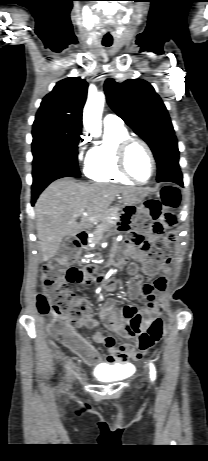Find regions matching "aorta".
<instances>
[{
    "instance_id": "1",
    "label": "aorta",
    "mask_w": 208,
    "mask_h": 461,
    "mask_svg": "<svg viewBox=\"0 0 208 461\" xmlns=\"http://www.w3.org/2000/svg\"><path fill=\"white\" fill-rule=\"evenodd\" d=\"M105 103V95L102 92H89L83 110V125L87 132L95 137L102 133V112Z\"/></svg>"
}]
</instances>
